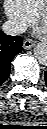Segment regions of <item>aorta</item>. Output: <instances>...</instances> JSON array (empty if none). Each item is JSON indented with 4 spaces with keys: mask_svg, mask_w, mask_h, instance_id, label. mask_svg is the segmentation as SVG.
<instances>
[{
    "mask_svg": "<svg viewBox=\"0 0 47 129\" xmlns=\"http://www.w3.org/2000/svg\"><path fill=\"white\" fill-rule=\"evenodd\" d=\"M34 57L41 64H46L47 62V44L45 42H39L34 47Z\"/></svg>",
    "mask_w": 47,
    "mask_h": 129,
    "instance_id": "obj_1",
    "label": "aorta"
}]
</instances>
